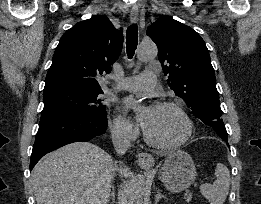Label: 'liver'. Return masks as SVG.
I'll return each instance as SVG.
<instances>
[{
	"label": "liver",
	"instance_id": "6515ba94",
	"mask_svg": "<svg viewBox=\"0 0 261 204\" xmlns=\"http://www.w3.org/2000/svg\"><path fill=\"white\" fill-rule=\"evenodd\" d=\"M115 170L129 175L97 145H65L43 157L32 171L37 204H107Z\"/></svg>",
	"mask_w": 261,
	"mask_h": 204
}]
</instances>
